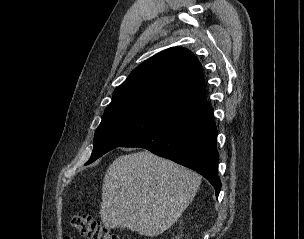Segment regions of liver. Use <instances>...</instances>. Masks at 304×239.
Wrapping results in <instances>:
<instances>
[{
  "mask_svg": "<svg viewBox=\"0 0 304 239\" xmlns=\"http://www.w3.org/2000/svg\"><path fill=\"white\" fill-rule=\"evenodd\" d=\"M200 183L196 172L149 151L121 155L103 179L101 220L107 228L158 236L178 220Z\"/></svg>",
  "mask_w": 304,
  "mask_h": 239,
  "instance_id": "6515ba94",
  "label": "liver"
}]
</instances>
